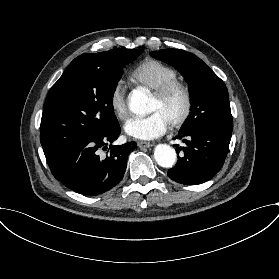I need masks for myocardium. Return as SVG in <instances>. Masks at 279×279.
<instances>
[{
    "instance_id": "obj_1",
    "label": "myocardium",
    "mask_w": 279,
    "mask_h": 279,
    "mask_svg": "<svg viewBox=\"0 0 279 279\" xmlns=\"http://www.w3.org/2000/svg\"><path fill=\"white\" fill-rule=\"evenodd\" d=\"M175 92L182 94L184 106L181 114L170 125L172 128H180L188 120L192 112L193 98L188 83L180 79L169 81L154 91V96L159 100H164Z\"/></svg>"
}]
</instances>
